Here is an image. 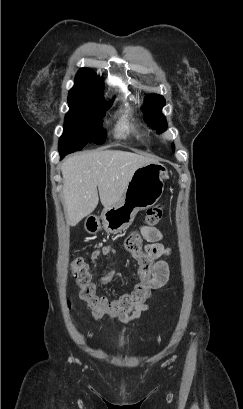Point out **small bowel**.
Segmentation results:
<instances>
[{
    "label": "small bowel",
    "instance_id": "1",
    "mask_svg": "<svg viewBox=\"0 0 243 409\" xmlns=\"http://www.w3.org/2000/svg\"><path fill=\"white\" fill-rule=\"evenodd\" d=\"M140 233L146 240L145 253L143 257L136 258L140 264L139 278L140 282L137 285L144 287L148 292L154 289L162 288L166 285L169 278V265L162 257L169 253V249L161 242L163 238L162 232L157 227H140ZM115 250L111 246H101L95 249L91 256L90 262L92 265H97L98 259L103 257L109 264L112 263V255ZM148 267L149 271L145 273L144 269ZM99 281L102 284H109L113 278V271L110 270L105 275H99ZM149 305L142 303L132 306L129 310L112 315L109 313H102L96 310L92 311L94 320L100 319L116 320L119 323L134 325V323L141 319L143 314L147 312Z\"/></svg>",
    "mask_w": 243,
    "mask_h": 409
}]
</instances>
